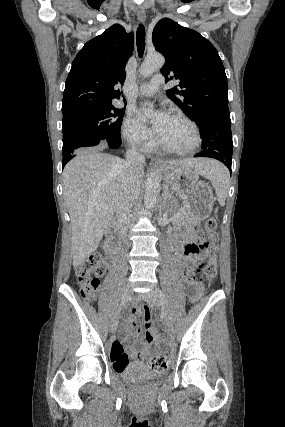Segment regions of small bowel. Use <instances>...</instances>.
<instances>
[{
  "label": "small bowel",
  "mask_w": 285,
  "mask_h": 427,
  "mask_svg": "<svg viewBox=\"0 0 285 427\" xmlns=\"http://www.w3.org/2000/svg\"><path fill=\"white\" fill-rule=\"evenodd\" d=\"M186 228L177 227L170 232L171 243L175 249L176 259L180 262L185 261L184 257V235ZM142 312L147 315L149 311L143 309ZM125 325L134 330L133 337L135 338V346L128 352L124 350L123 344L126 343L130 336L122 337L119 340H113L111 343V362L116 370H121L123 366L132 359L137 362H145L153 354L148 347V344L156 337V332L153 328L151 320L146 318L144 324L146 326L147 342L141 338V331L138 327V320L134 314H129L124 319Z\"/></svg>",
  "instance_id": "c3829d8e"
}]
</instances>
